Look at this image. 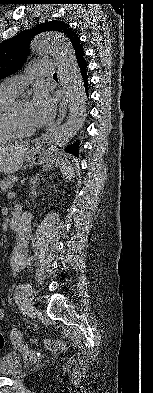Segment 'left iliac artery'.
Listing matches in <instances>:
<instances>
[{"mask_svg": "<svg viewBox=\"0 0 153 393\" xmlns=\"http://www.w3.org/2000/svg\"><path fill=\"white\" fill-rule=\"evenodd\" d=\"M29 288H30L29 285H19L16 288L15 299L17 304H19L21 300L24 299V294L27 292Z\"/></svg>", "mask_w": 153, "mask_h": 393, "instance_id": "44dca946", "label": "left iliac artery"}]
</instances>
